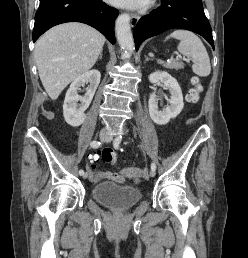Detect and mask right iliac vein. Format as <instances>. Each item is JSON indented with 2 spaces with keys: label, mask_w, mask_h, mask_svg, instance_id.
<instances>
[{
  "label": "right iliac vein",
  "mask_w": 248,
  "mask_h": 258,
  "mask_svg": "<svg viewBox=\"0 0 248 258\" xmlns=\"http://www.w3.org/2000/svg\"><path fill=\"white\" fill-rule=\"evenodd\" d=\"M108 137H109V135L104 131H101L99 134V138L102 141H106ZM88 176H89V174L86 172V173H84L83 178L86 179V178H88Z\"/></svg>",
  "instance_id": "obj_1"
}]
</instances>
